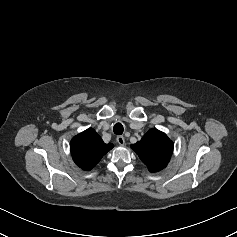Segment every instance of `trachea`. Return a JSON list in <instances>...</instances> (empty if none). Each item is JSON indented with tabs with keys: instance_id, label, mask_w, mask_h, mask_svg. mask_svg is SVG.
I'll return each mask as SVG.
<instances>
[{
	"instance_id": "obj_1",
	"label": "trachea",
	"mask_w": 237,
	"mask_h": 237,
	"mask_svg": "<svg viewBox=\"0 0 237 237\" xmlns=\"http://www.w3.org/2000/svg\"><path fill=\"white\" fill-rule=\"evenodd\" d=\"M113 131L116 135H121L124 131L123 125L121 123H116L113 127Z\"/></svg>"
}]
</instances>
